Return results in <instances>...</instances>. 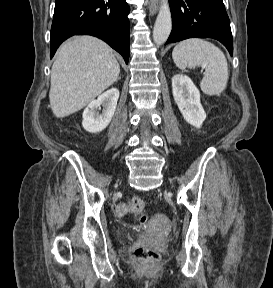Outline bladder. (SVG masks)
I'll return each instance as SVG.
<instances>
[{
  "instance_id": "bladder-1",
  "label": "bladder",
  "mask_w": 273,
  "mask_h": 288,
  "mask_svg": "<svg viewBox=\"0 0 273 288\" xmlns=\"http://www.w3.org/2000/svg\"><path fill=\"white\" fill-rule=\"evenodd\" d=\"M116 237L119 240H126V239H130V238H139V237H141V233L129 232V231H125V230H118L116 232Z\"/></svg>"
}]
</instances>
